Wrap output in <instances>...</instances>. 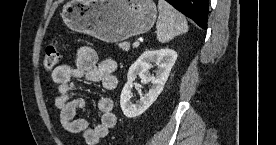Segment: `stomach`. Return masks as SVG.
I'll return each mask as SVG.
<instances>
[{"label":"stomach","mask_w":276,"mask_h":145,"mask_svg":"<svg viewBox=\"0 0 276 145\" xmlns=\"http://www.w3.org/2000/svg\"><path fill=\"white\" fill-rule=\"evenodd\" d=\"M61 16L71 30L112 43L149 31L157 9L153 0H70Z\"/></svg>","instance_id":"stomach-1"}]
</instances>
